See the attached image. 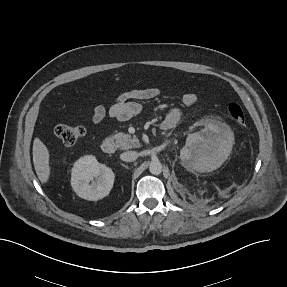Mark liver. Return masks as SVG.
<instances>
[{
	"mask_svg": "<svg viewBox=\"0 0 287 287\" xmlns=\"http://www.w3.org/2000/svg\"><path fill=\"white\" fill-rule=\"evenodd\" d=\"M33 163L39 180L42 184H46L51 174L50 154L39 138H35L33 142Z\"/></svg>",
	"mask_w": 287,
	"mask_h": 287,
	"instance_id": "6515ba94",
	"label": "liver"
}]
</instances>
